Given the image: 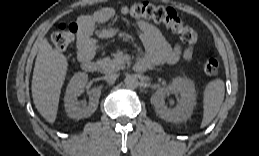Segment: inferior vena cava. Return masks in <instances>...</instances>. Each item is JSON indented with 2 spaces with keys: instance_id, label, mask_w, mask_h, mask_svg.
Instances as JSON below:
<instances>
[{
  "instance_id": "inferior-vena-cava-1",
  "label": "inferior vena cava",
  "mask_w": 259,
  "mask_h": 156,
  "mask_svg": "<svg viewBox=\"0 0 259 156\" xmlns=\"http://www.w3.org/2000/svg\"><path fill=\"white\" fill-rule=\"evenodd\" d=\"M118 78V74L110 73L105 76V79L109 82H114Z\"/></svg>"
}]
</instances>
